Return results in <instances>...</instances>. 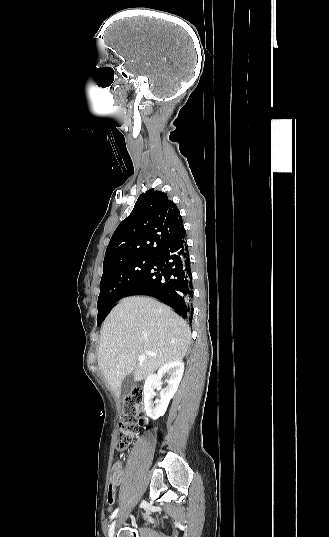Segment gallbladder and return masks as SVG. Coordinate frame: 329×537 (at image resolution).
I'll use <instances>...</instances> for the list:
<instances>
[{"instance_id":"obj_1","label":"gallbladder","mask_w":329,"mask_h":537,"mask_svg":"<svg viewBox=\"0 0 329 537\" xmlns=\"http://www.w3.org/2000/svg\"><path fill=\"white\" fill-rule=\"evenodd\" d=\"M135 387V378H134V374L133 372L126 375L124 377V379L122 380L121 382V389H120V394H121V397H125L129 394H131L132 390L134 389Z\"/></svg>"}]
</instances>
